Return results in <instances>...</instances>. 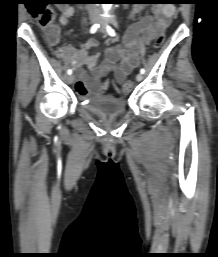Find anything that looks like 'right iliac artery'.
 Here are the masks:
<instances>
[{
    "label": "right iliac artery",
    "mask_w": 218,
    "mask_h": 257,
    "mask_svg": "<svg viewBox=\"0 0 218 257\" xmlns=\"http://www.w3.org/2000/svg\"><path fill=\"white\" fill-rule=\"evenodd\" d=\"M99 28V24H94L91 29H90V33H95L97 31V29ZM68 75H71L72 74V70L71 69H68L67 71Z\"/></svg>",
    "instance_id": "1"
}]
</instances>
